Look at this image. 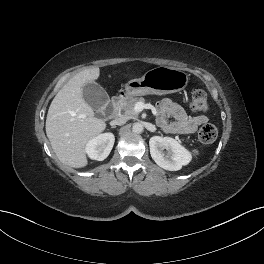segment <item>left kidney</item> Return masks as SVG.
Wrapping results in <instances>:
<instances>
[{"mask_svg": "<svg viewBox=\"0 0 264 264\" xmlns=\"http://www.w3.org/2000/svg\"><path fill=\"white\" fill-rule=\"evenodd\" d=\"M149 147L152 159L165 170H180L191 161L190 152L171 137L153 136L150 138Z\"/></svg>", "mask_w": 264, "mask_h": 264, "instance_id": "obj_1", "label": "left kidney"}]
</instances>
